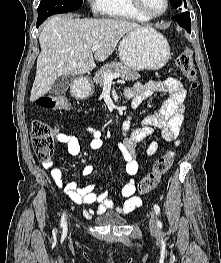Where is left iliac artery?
<instances>
[{"instance_id":"left-iliac-artery-1","label":"left iliac artery","mask_w":221,"mask_h":263,"mask_svg":"<svg viewBox=\"0 0 221 263\" xmlns=\"http://www.w3.org/2000/svg\"><path fill=\"white\" fill-rule=\"evenodd\" d=\"M154 210L156 214H160V207L157 204L154 205ZM158 224L161 225V222H158Z\"/></svg>"}]
</instances>
